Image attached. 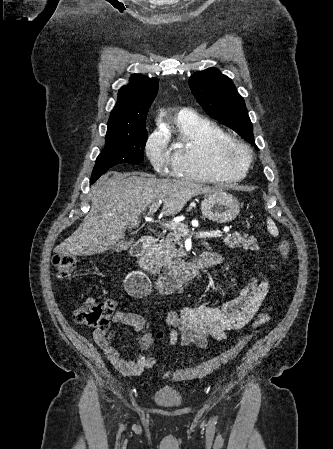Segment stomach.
Segmentation results:
<instances>
[{"label": "stomach", "instance_id": "obj_1", "mask_svg": "<svg viewBox=\"0 0 333 449\" xmlns=\"http://www.w3.org/2000/svg\"><path fill=\"white\" fill-rule=\"evenodd\" d=\"M204 218L217 223H228L240 212V204L236 198L222 190L210 193L201 204Z\"/></svg>", "mask_w": 333, "mask_h": 449}]
</instances>
